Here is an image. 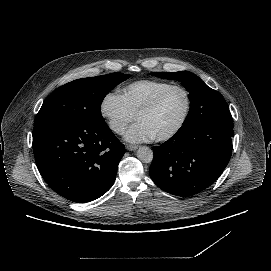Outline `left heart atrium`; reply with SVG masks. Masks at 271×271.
I'll return each mask as SVG.
<instances>
[{"label":"left heart atrium","instance_id":"obj_1","mask_svg":"<svg viewBox=\"0 0 271 271\" xmlns=\"http://www.w3.org/2000/svg\"><path fill=\"white\" fill-rule=\"evenodd\" d=\"M153 134L143 122L137 121L128 130L125 139L130 143H145L152 140Z\"/></svg>","mask_w":271,"mask_h":271}]
</instances>
